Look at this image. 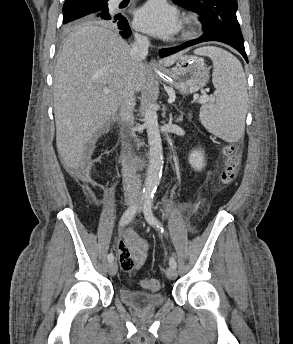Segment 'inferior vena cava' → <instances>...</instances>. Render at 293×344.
Listing matches in <instances>:
<instances>
[{
    "label": "inferior vena cava",
    "instance_id": "obj_1",
    "mask_svg": "<svg viewBox=\"0 0 293 344\" xmlns=\"http://www.w3.org/2000/svg\"><path fill=\"white\" fill-rule=\"evenodd\" d=\"M149 39L146 36L135 34V41L130 51L131 66L123 79L120 92L119 111L123 126L128 125L133 119L135 107V75L142 61L148 54ZM123 137H126L122 133ZM122 177L125 197L139 198L141 196V184L136 179V170L133 160V147L130 142L123 141Z\"/></svg>",
    "mask_w": 293,
    "mask_h": 344
}]
</instances>
